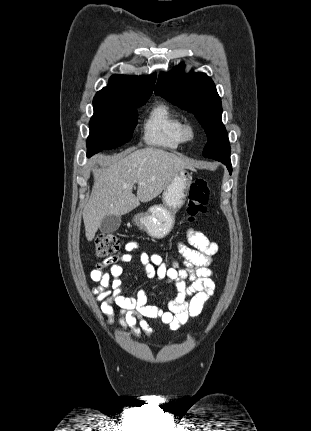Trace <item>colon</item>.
<instances>
[{
  "instance_id": "5ec220e1",
  "label": "colon",
  "mask_w": 311,
  "mask_h": 431,
  "mask_svg": "<svg viewBox=\"0 0 311 431\" xmlns=\"http://www.w3.org/2000/svg\"><path fill=\"white\" fill-rule=\"evenodd\" d=\"M210 200V188L205 178H195L191 181L189 187L187 220L189 222L204 214L207 211V205ZM121 247V241L117 236L111 233L101 234L97 237L95 243V256L97 258H106L116 253Z\"/></svg>"
}]
</instances>
